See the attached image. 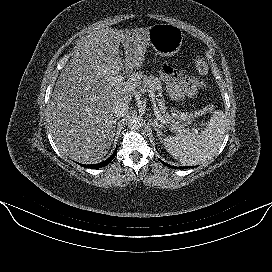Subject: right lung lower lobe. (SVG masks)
Instances as JSON below:
<instances>
[{"mask_svg": "<svg viewBox=\"0 0 272 272\" xmlns=\"http://www.w3.org/2000/svg\"><path fill=\"white\" fill-rule=\"evenodd\" d=\"M116 153H117V148H116L115 152L112 154V156L110 158H108L106 161L101 162L99 164L87 165V166L82 165V166L87 167V168H101V167H104V166L108 165L114 159Z\"/></svg>", "mask_w": 272, "mask_h": 272, "instance_id": "obj_1", "label": "right lung lower lobe"}]
</instances>
